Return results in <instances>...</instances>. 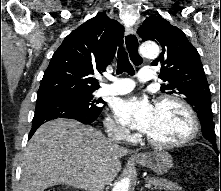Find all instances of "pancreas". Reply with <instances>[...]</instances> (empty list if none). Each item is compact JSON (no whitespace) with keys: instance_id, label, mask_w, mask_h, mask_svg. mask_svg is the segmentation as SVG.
I'll list each match as a JSON object with an SVG mask.
<instances>
[{"instance_id":"cf45deb5","label":"pancreas","mask_w":221,"mask_h":191,"mask_svg":"<svg viewBox=\"0 0 221 191\" xmlns=\"http://www.w3.org/2000/svg\"><path fill=\"white\" fill-rule=\"evenodd\" d=\"M146 182L153 186L154 189H165L168 191H181V188L177 183H173L171 181H168L166 179L162 178H156V177H146Z\"/></svg>"}]
</instances>
